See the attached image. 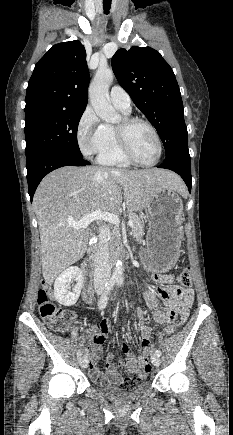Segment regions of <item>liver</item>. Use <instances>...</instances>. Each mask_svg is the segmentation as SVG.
<instances>
[{
    "label": "liver",
    "instance_id": "1",
    "mask_svg": "<svg viewBox=\"0 0 233 435\" xmlns=\"http://www.w3.org/2000/svg\"><path fill=\"white\" fill-rule=\"evenodd\" d=\"M162 188L184 193L181 178L163 169L125 170L97 166H65L49 173L33 199L41 240L42 274L47 283L79 261L87 250L89 233L75 229L96 211H114L124 198L132 211H141ZM123 190V197L121 191Z\"/></svg>",
    "mask_w": 233,
    "mask_h": 435
}]
</instances>
